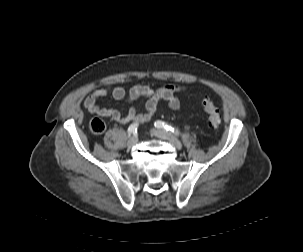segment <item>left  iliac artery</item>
I'll return each mask as SVG.
<instances>
[{
    "instance_id": "44dca946",
    "label": "left iliac artery",
    "mask_w": 303,
    "mask_h": 252,
    "mask_svg": "<svg viewBox=\"0 0 303 252\" xmlns=\"http://www.w3.org/2000/svg\"><path fill=\"white\" fill-rule=\"evenodd\" d=\"M154 125H155V127H157V128H163V129H165V130H167V131H170V132L174 133L176 136L179 135L178 129H174L173 127H171L170 125L166 124L165 122H162V121H159V120H158V121H156V122L154 123Z\"/></svg>"
}]
</instances>
